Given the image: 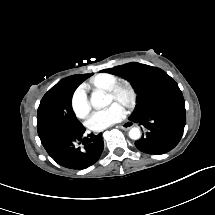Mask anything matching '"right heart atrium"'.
<instances>
[{
  "instance_id": "obj_1",
  "label": "right heart atrium",
  "mask_w": 215,
  "mask_h": 215,
  "mask_svg": "<svg viewBox=\"0 0 215 215\" xmlns=\"http://www.w3.org/2000/svg\"><path fill=\"white\" fill-rule=\"evenodd\" d=\"M73 99L74 112L82 118L87 117L90 113V105L87 101L85 93L78 90L74 93Z\"/></svg>"
}]
</instances>
